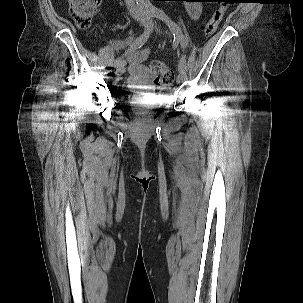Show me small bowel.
<instances>
[{"instance_id":"small-bowel-1","label":"small bowel","mask_w":303,"mask_h":303,"mask_svg":"<svg viewBox=\"0 0 303 303\" xmlns=\"http://www.w3.org/2000/svg\"><path fill=\"white\" fill-rule=\"evenodd\" d=\"M196 2L198 0H187ZM187 12L189 16L196 20L200 17L202 12V7L200 4H186ZM111 47L119 53L124 51V55L128 62V72L131 76L130 82L138 87L150 88L151 87V72L143 65V62L148 58L149 51L143 49L141 51L135 52L126 47L121 40H112L110 42Z\"/></svg>"}]
</instances>
